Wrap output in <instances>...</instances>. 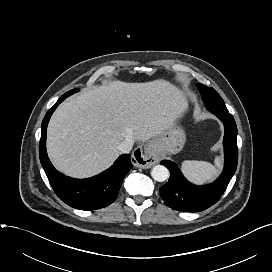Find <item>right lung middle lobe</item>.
Masks as SVG:
<instances>
[{"label": "right lung middle lobe", "instance_id": "right-lung-middle-lobe-1", "mask_svg": "<svg viewBox=\"0 0 272 272\" xmlns=\"http://www.w3.org/2000/svg\"><path fill=\"white\" fill-rule=\"evenodd\" d=\"M77 91H78V89L70 90V91L66 92L64 95H62L60 99L64 100L65 98H67L68 96H70L71 94H73Z\"/></svg>", "mask_w": 272, "mask_h": 272}]
</instances>
